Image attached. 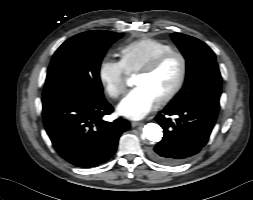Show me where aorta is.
Instances as JSON below:
<instances>
[{
    "mask_svg": "<svg viewBox=\"0 0 253 200\" xmlns=\"http://www.w3.org/2000/svg\"><path fill=\"white\" fill-rule=\"evenodd\" d=\"M162 135V128L158 124L148 123L143 129L142 137L151 142H159Z\"/></svg>",
    "mask_w": 253,
    "mask_h": 200,
    "instance_id": "762f6f07",
    "label": "aorta"
}]
</instances>
